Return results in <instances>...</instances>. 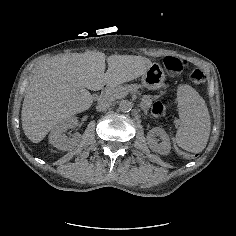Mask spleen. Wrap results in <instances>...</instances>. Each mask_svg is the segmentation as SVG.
Returning a JSON list of instances; mask_svg holds the SVG:
<instances>
[{"label": "spleen", "mask_w": 236, "mask_h": 236, "mask_svg": "<svg viewBox=\"0 0 236 236\" xmlns=\"http://www.w3.org/2000/svg\"><path fill=\"white\" fill-rule=\"evenodd\" d=\"M177 101L181 122L176 133V142L188 152L199 153L206 147L211 130L207 105L189 85L178 88Z\"/></svg>", "instance_id": "1"}]
</instances>
